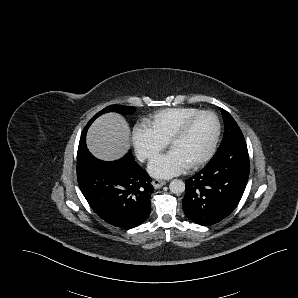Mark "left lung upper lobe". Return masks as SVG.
Masks as SVG:
<instances>
[{"mask_svg": "<svg viewBox=\"0 0 298 298\" xmlns=\"http://www.w3.org/2000/svg\"><path fill=\"white\" fill-rule=\"evenodd\" d=\"M221 112H222L223 121L225 124V131H224V137L222 139V142L216 153H220L224 151L227 147L235 143L245 141L240 128L238 127L237 123L232 118V116L224 109H221Z\"/></svg>", "mask_w": 298, "mask_h": 298, "instance_id": "5c2ea615", "label": "left lung upper lobe"}]
</instances>
